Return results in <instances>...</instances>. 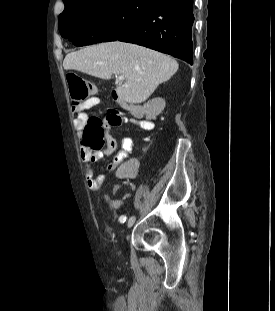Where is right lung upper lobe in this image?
<instances>
[{
	"mask_svg": "<svg viewBox=\"0 0 275 311\" xmlns=\"http://www.w3.org/2000/svg\"><path fill=\"white\" fill-rule=\"evenodd\" d=\"M64 1V4H67L69 2H72V1H80V0H63Z\"/></svg>",
	"mask_w": 275,
	"mask_h": 311,
	"instance_id": "right-lung-upper-lobe-1",
	"label": "right lung upper lobe"
}]
</instances>
